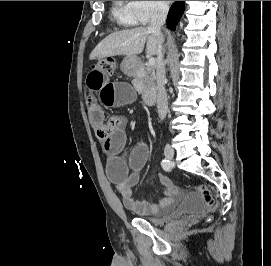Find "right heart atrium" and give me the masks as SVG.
Here are the masks:
<instances>
[{"mask_svg":"<svg viewBox=\"0 0 271 266\" xmlns=\"http://www.w3.org/2000/svg\"><path fill=\"white\" fill-rule=\"evenodd\" d=\"M129 8L136 24L145 25L165 13V1H129Z\"/></svg>","mask_w":271,"mask_h":266,"instance_id":"d8ad5b80","label":"right heart atrium"}]
</instances>
